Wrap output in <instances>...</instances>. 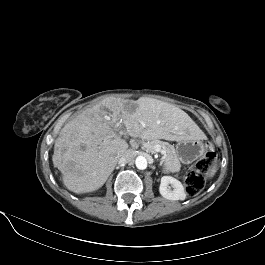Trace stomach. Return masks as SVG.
Masks as SVG:
<instances>
[{
  "instance_id": "0dacf381",
  "label": "stomach",
  "mask_w": 265,
  "mask_h": 265,
  "mask_svg": "<svg viewBox=\"0 0 265 265\" xmlns=\"http://www.w3.org/2000/svg\"><path fill=\"white\" fill-rule=\"evenodd\" d=\"M204 147L199 139H182L177 141L176 155L184 164H190L202 156Z\"/></svg>"
}]
</instances>
